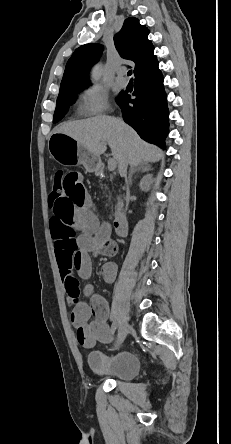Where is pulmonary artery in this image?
Wrapping results in <instances>:
<instances>
[{"mask_svg": "<svg viewBox=\"0 0 231 444\" xmlns=\"http://www.w3.org/2000/svg\"><path fill=\"white\" fill-rule=\"evenodd\" d=\"M115 82L119 87H126L127 86V80L124 77V70L121 69L117 72L116 78H115Z\"/></svg>", "mask_w": 231, "mask_h": 444, "instance_id": "obj_1", "label": "pulmonary artery"}]
</instances>
